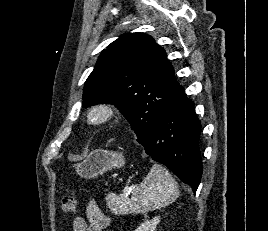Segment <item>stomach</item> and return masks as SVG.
Segmentation results:
<instances>
[{
  "mask_svg": "<svg viewBox=\"0 0 268 231\" xmlns=\"http://www.w3.org/2000/svg\"><path fill=\"white\" fill-rule=\"evenodd\" d=\"M125 165L122 153L103 149L93 150L82 162L75 165L77 174L83 178H97L108 170Z\"/></svg>",
  "mask_w": 268,
  "mask_h": 231,
  "instance_id": "0dacf381",
  "label": "stomach"
}]
</instances>
